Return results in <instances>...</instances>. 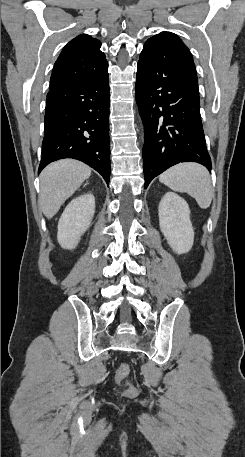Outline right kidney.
Listing matches in <instances>:
<instances>
[{
  "label": "right kidney",
  "mask_w": 245,
  "mask_h": 457,
  "mask_svg": "<svg viewBox=\"0 0 245 457\" xmlns=\"http://www.w3.org/2000/svg\"><path fill=\"white\" fill-rule=\"evenodd\" d=\"M95 212L92 192L80 194L67 204L58 222L57 241L62 249H75L80 237L87 231Z\"/></svg>",
  "instance_id": "obj_1"
}]
</instances>
